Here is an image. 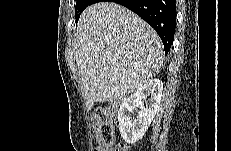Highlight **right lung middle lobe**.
<instances>
[{"mask_svg":"<svg viewBox=\"0 0 231 151\" xmlns=\"http://www.w3.org/2000/svg\"><path fill=\"white\" fill-rule=\"evenodd\" d=\"M91 4H93V0H78L75 2L76 23L79 20L80 14L83 12V10Z\"/></svg>","mask_w":231,"mask_h":151,"instance_id":"1","label":"right lung middle lobe"}]
</instances>
